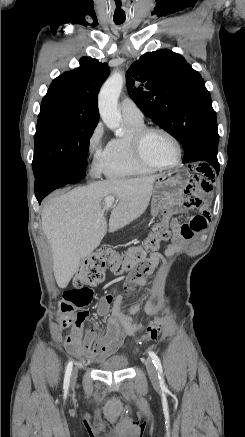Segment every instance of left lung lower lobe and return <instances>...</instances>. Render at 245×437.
I'll return each instance as SVG.
<instances>
[{
  "instance_id": "obj_1",
  "label": "left lung lower lobe",
  "mask_w": 245,
  "mask_h": 437,
  "mask_svg": "<svg viewBox=\"0 0 245 437\" xmlns=\"http://www.w3.org/2000/svg\"><path fill=\"white\" fill-rule=\"evenodd\" d=\"M213 166L215 167V169L219 168L218 160L213 162Z\"/></svg>"
}]
</instances>
